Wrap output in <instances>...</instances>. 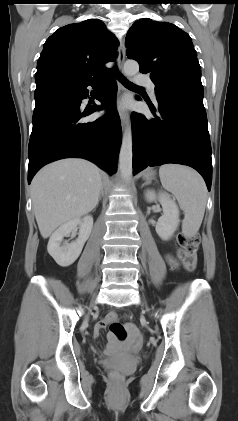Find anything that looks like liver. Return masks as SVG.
Returning a JSON list of instances; mask_svg holds the SVG:
<instances>
[{
  "label": "liver",
  "instance_id": "obj_1",
  "mask_svg": "<svg viewBox=\"0 0 238 421\" xmlns=\"http://www.w3.org/2000/svg\"><path fill=\"white\" fill-rule=\"evenodd\" d=\"M102 188L99 168L83 159H64L43 167L33 178L31 197L43 238L95 208Z\"/></svg>",
  "mask_w": 238,
  "mask_h": 421
}]
</instances>
